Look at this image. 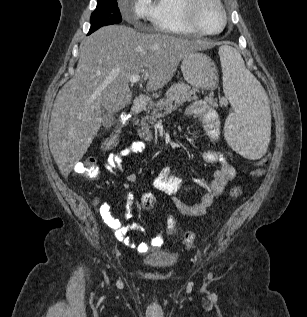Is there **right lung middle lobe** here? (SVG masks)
Returning a JSON list of instances; mask_svg holds the SVG:
<instances>
[{"label":"right lung middle lobe","instance_id":"right-lung-middle-lobe-1","mask_svg":"<svg viewBox=\"0 0 307 317\" xmlns=\"http://www.w3.org/2000/svg\"><path fill=\"white\" fill-rule=\"evenodd\" d=\"M121 21L117 0H97V7L91 14V27L88 34L102 26L117 24Z\"/></svg>","mask_w":307,"mask_h":317}]
</instances>
